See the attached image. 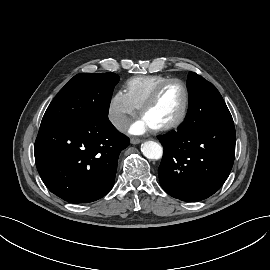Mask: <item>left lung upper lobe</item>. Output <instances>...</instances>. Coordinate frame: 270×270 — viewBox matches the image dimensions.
Returning <instances> with one entry per match:
<instances>
[{"label":"left lung upper lobe","mask_w":270,"mask_h":270,"mask_svg":"<svg viewBox=\"0 0 270 270\" xmlns=\"http://www.w3.org/2000/svg\"><path fill=\"white\" fill-rule=\"evenodd\" d=\"M190 116L199 125L234 124L229 109L213 84L194 72L187 79Z\"/></svg>","instance_id":"left-lung-upper-lobe-1"}]
</instances>
